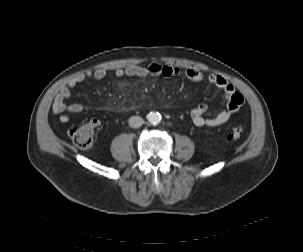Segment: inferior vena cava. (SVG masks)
<instances>
[{
	"mask_svg": "<svg viewBox=\"0 0 303 252\" xmlns=\"http://www.w3.org/2000/svg\"><path fill=\"white\" fill-rule=\"evenodd\" d=\"M143 122L144 121L140 116H132L129 119V126L132 128H139Z\"/></svg>",
	"mask_w": 303,
	"mask_h": 252,
	"instance_id": "obj_1",
	"label": "inferior vena cava"
}]
</instances>
